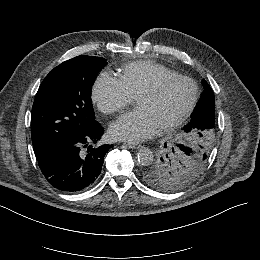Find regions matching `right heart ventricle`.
Segmentation results:
<instances>
[{"label":"right heart ventricle","instance_id":"1","mask_svg":"<svg viewBox=\"0 0 260 260\" xmlns=\"http://www.w3.org/2000/svg\"><path fill=\"white\" fill-rule=\"evenodd\" d=\"M177 74L174 70L151 62H134L126 65L121 74L120 80L131 97L143 89L150 87L155 78Z\"/></svg>","mask_w":260,"mask_h":260}]
</instances>
